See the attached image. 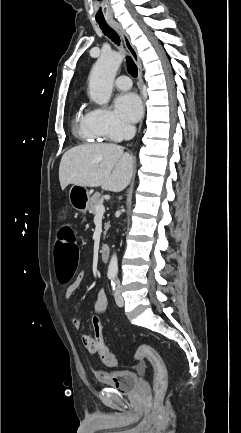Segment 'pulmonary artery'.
Instances as JSON below:
<instances>
[{"label": "pulmonary artery", "instance_id": "e3ab8cb5", "mask_svg": "<svg viewBox=\"0 0 241 433\" xmlns=\"http://www.w3.org/2000/svg\"><path fill=\"white\" fill-rule=\"evenodd\" d=\"M115 86L119 89V90H128L131 88V80L127 75H120L116 80H115Z\"/></svg>", "mask_w": 241, "mask_h": 433}]
</instances>
